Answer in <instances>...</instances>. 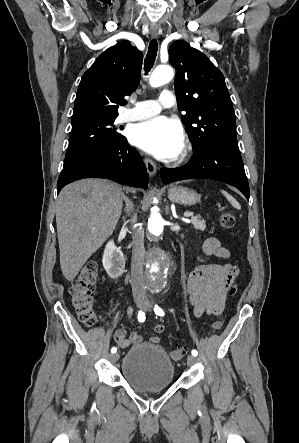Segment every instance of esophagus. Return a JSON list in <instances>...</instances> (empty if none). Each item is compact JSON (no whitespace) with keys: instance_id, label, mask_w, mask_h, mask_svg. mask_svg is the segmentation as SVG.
Segmentation results:
<instances>
[{"instance_id":"obj_1","label":"esophagus","mask_w":299,"mask_h":443,"mask_svg":"<svg viewBox=\"0 0 299 443\" xmlns=\"http://www.w3.org/2000/svg\"><path fill=\"white\" fill-rule=\"evenodd\" d=\"M150 33L152 36H157L158 35V28L157 27H151L150 28ZM144 163L147 169V172L150 176H154L157 172V167L156 164L150 160L149 158H145L144 159Z\"/></svg>"}]
</instances>
